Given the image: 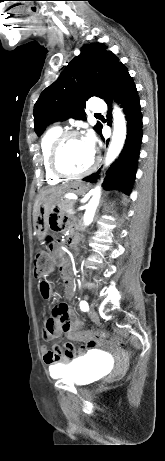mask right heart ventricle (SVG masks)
Returning <instances> with one entry per match:
<instances>
[{
    "mask_svg": "<svg viewBox=\"0 0 165 461\" xmlns=\"http://www.w3.org/2000/svg\"><path fill=\"white\" fill-rule=\"evenodd\" d=\"M60 133H61L60 128L58 127L51 128L43 135L40 141V150H41V155L43 159V167L45 171L46 180L52 184L60 182L61 178L54 175L51 172L49 168V164H48V155H49V150H50V147L53 141L57 138V136Z\"/></svg>",
    "mask_w": 165,
    "mask_h": 461,
    "instance_id": "e07e8e85",
    "label": "right heart ventricle"
}]
</instances>
